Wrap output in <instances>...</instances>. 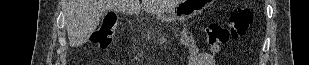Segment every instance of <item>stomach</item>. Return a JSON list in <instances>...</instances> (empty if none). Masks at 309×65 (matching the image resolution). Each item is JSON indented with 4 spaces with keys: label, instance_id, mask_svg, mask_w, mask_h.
I'll return each mask as SVG.
<instances>
[{
    "label": "stomach",
    "instance_id": "stomach-1",
    "mask_svg": "<svg viewBox=\"0 0 309 65\" xmlns=\"http://www.w3.org/2000/svg\"><path fill=\"white\" fill-rule=\"evenodd\" d=\"M212 2L213 0H180L175 7L158 14V19L167 22H183L201 13Z\"/></svg>",
    "mask_w": 309,
    "mask_h": 65
}]
</instances>
